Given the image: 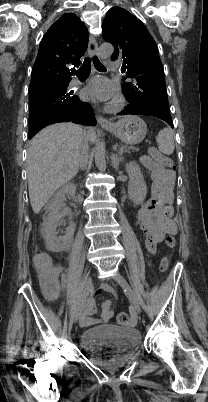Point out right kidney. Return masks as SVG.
<instances>
[{
    "label": "right kidney",
    "instance_id": "right-kidney-1",
    "mask_svg": "<svg viewBox=\"0 0 208 402\" xmlns=\"http://www.w3.org/2000/svg\"><path fill=\"white\" fill-rule=\"evenodd\" d=\"M75 192V184L68 182V184H65V186H62V188L56 192L55 196H53L50 202V214L44 222V238L46 240V244L50 246L53 252H62V250H66L70 240L73 238V232L72 230L70 232L69 228H67L69 232H67L66 236H56V234H58V232H56V228L60 218L71 214V210H69V208H63L66 194H68V196H75ZM61 208H63V210H61ZM60 242H63V244H60Z\"/></svg>",
    "mask_w": 208,
    "mask_h": 402
}]
</instances>
